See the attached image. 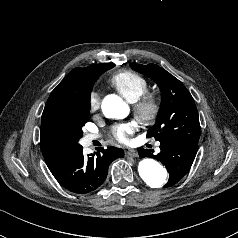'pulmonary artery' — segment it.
Returning <instances> with one entry per match:
<instances>
[{"mask_svg": "<svg viewBox=\"0 0 238 238\" xmlns=\"http://www.w3.org/2000/svg\"><path fill=\"white\" fill-rule=\"evenodd\" d=\"M97 138L96 135H93V134H89V135H86L85 136V142L87 144L91 143L93 140H95Z\"/></svg>", "mask_w": 238, "mask_h": 238, "instance_id": "pulmonary-artery-1", "label": "pulmonary artery"}]
</instances>
